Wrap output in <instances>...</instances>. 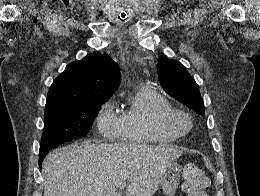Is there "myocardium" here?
Returning a JSON list of instances; mask_svg holds the SVG:
<instances>
[{
  "mask_svg": "<svg viewBox=\"0 0 260 196\" xmlns=\"http://www.w3.org/2000/svg\"><path fill=\"white\" fill-rule=\"evenodd\" d=\"M156 124L165 131L177 133L180 137L191 130L188 113L179 108L164 111L160 114Z\"/></svg>",
  "mask_w": 260,
  "mask_h": 196,
  "instance_id": "myocardium-1",
  "label": "myocardium"
}]
</instances>
